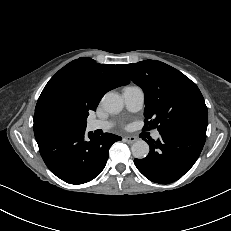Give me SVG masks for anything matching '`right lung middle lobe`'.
Returning a JSON list of instances; mask_svg holds the SVG:
<instances>
[{"instance_id":"dd1d6c3e","label":"right lung middle lobe","mask_w":231,"mask_h":231,"mask_svg":"<svg viewBox=\"0 0 231 231\" xmlns=\"http://www.w3.org/2000/svg\"><path fill=\"white\" fill-rule=\"evenodd\" d=\"M46 127L48 135L74 133L85 130L86 120H80L69 105L58 104L48 114Z\"/></svg>"}]
</instances>
